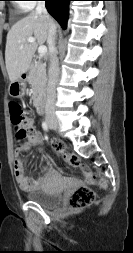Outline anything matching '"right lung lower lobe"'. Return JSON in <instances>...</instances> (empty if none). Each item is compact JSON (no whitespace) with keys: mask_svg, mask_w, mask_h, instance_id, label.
<instances>
[{"mask_svg":"<svg viewBox=\"0 0 133 253\" xmlns=\"http://www.w3.org/2000/svg\"><path fill=\"white\" fill-rule=\"evenodd\" d=\"M46 8L51 16H53L63 29L66 28L68 19V4L71 0H45Z\"/></svg>","mask_w":133,"mask_h":253,"instance_id":"98d812e1","label":"right lung lower lobe"}]
</instances>
